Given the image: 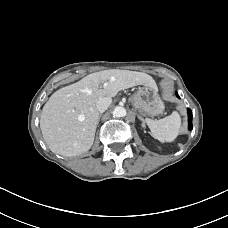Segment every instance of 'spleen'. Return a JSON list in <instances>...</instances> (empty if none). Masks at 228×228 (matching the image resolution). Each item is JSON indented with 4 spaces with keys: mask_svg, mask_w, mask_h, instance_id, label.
I'll list each match as a JSON object with an SVG mask.
<instances>
[{
    "mask_svg": "<svg viewBox=\"0 0 228 228\" xmlns=\"http://www.w3.org/2000/svg\"><path fill=\"white\" fill-rule=\"evenodd\" d=\"M146 123L152 135L160 142H172L176 139L181 128V117L178 112L173 111L171 115L160 119H146Z\"/></svg>",
    "mask_w": 228,
    "mask_h": 228,
    "instance_id": "3e777b00",
    "label": "spleen"
}]
</instances>
